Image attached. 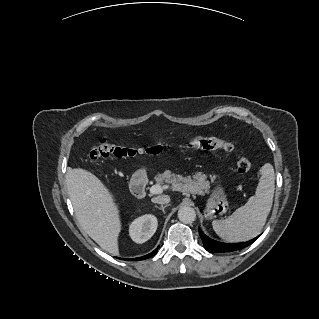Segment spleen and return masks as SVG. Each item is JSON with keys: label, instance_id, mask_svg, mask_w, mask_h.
<instances>
[{"label": "spleen", "instance_id": "spleen-1", "mask_svg": "<svg viewBox=\"0 0 319 319\" xmlns=\"http://www.w3.org/2000/svg\"><path fill=\"white\" fill-rule=\"evenodd\" d=\"M274 190V169L271 164H265L255 196L227 219L214 220L212 226L216 234L229 242H242L258 235L271 210Z\"/></svg>", "mask_w": 319, "mask_h": 319}]
</instances>
